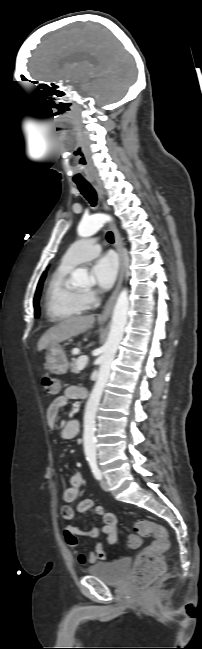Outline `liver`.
Returning <instances> with one entry per match:
<instances>
[{"label":"liver","instance_id":"liver-1","mask_svg":"<svg viewBox=\"0 0 202 649\" xmlns=\"http://www.w3.org/2000/svg\"><path fill=\"white\" fill-rule=\"evenodd\" d=\"M94 322V315L66 319L46 331L38 341L37 350L42 351L73 336H78L91 328Z\"/></svg>","mask_w":202,"mask_h":649}]
</instances>
